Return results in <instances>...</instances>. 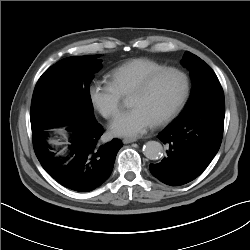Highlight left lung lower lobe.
Here are the masks:
<instances>
[{"label": "left lung lower lobe", "instance_id": "1", "mask_svg": "<svg viewBox=\"0 0 250 250\" xmlns=\"http://www.w3.org/2000/svg\"><path fill=\"white\" fill-rule=\"evenodd\" d=\"M224 100L176 119L158 134L167 155L150 172L161 182L179 186L197 178L218 152L223 135Z\"/></svg>", "mask_w": 250, "mask_h": 250}]
</instances>
